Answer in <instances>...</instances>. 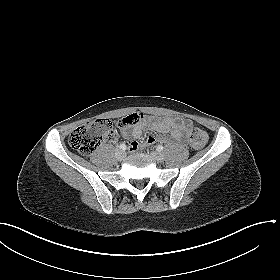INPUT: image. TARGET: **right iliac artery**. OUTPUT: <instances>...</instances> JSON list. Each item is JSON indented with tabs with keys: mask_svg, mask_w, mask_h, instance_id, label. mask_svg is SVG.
I'll return each instance as SVG.
<instances>
[{
	"mask_svg": "<svg viewBox=\"0 0 280 280\" xmlns=\"http://www.w3.org/2000/svg\"><path fill=\"white\" fill-rule=\"evenodd\" d=\"M119 148L122 149V150H125L126 149V145L124 143H122V144L119 145Z\"/></svg>",
	"mask_w": 280,
	"mask_h": 280,
	"instance_id": "right-iliac-artery-1",
	"label": "right iliac artery"
}]
</instances>
